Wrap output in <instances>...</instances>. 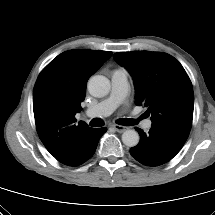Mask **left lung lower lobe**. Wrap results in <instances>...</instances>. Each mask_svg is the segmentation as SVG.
<instances>
[{"label":"left lung lower lobe","instance_id":"1","mask_svg":"<svg viewBox=\"0 0 215 215\" xmlns=\"http://www.w3.org/2000/svg\"><path fill=\"white\" fill-rule=\"evenodd\" d=\"M135 129L140 135V141L130 149V153L143 165H162L171 160L183 147L157 129L151 128L148 133L137 127Z\"/></svg>","mask_w":215,"mask_h":215}]
</instances>
